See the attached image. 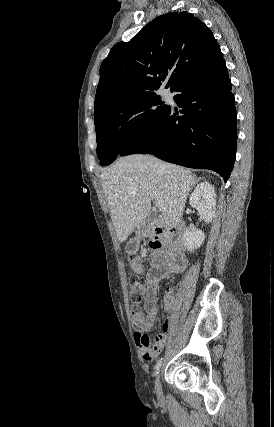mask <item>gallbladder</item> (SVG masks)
I'll return each mask as SVG.
<instances>
[{
  "mask_svg": "<svg viewBox=\"0 0 274 427\" xmlns=\"http://www.w3.org/2000/svg\"><path fill=\"white\" fill-rule=\"evenodd\" d=\"M153 219H155L154 215L147 219V223H145V225H142V231H149L148 223H150V221H153ZM140 237L141 233H136L135 237H131L130 241H128V243H126L125 245L126 253H136V251H138V247L140 245Z\"/></svg>",
  "mask_w": 274,
  "mask_h": 427,
  "instance_id": "1",
  "label": "gallbladder"
}]
</instances>
